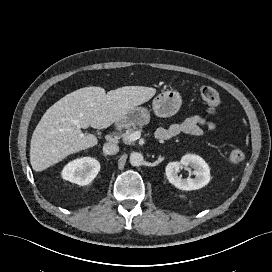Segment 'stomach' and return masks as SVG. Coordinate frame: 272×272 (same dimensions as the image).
Returning <instances> with one entry per match:
<instances>
[{"mask_svg": "<svg viewBox=\"0 0 272 272\" xmlns=\"http://www.w3.org/2000/svg\"><path fill=\"white\" fill-rule=\"evenodd\" d=\"M182 104L178 91L168 89L159 93L152 101V108L156 116L167 118L175 115ZM150 121V112L144 107H135L120 119L125 126H143Z\"/></svg>", "mask_w": 272, "mask_h": 272, "instance_id": "obj_1", "label": "stomach"}]
</instances>
